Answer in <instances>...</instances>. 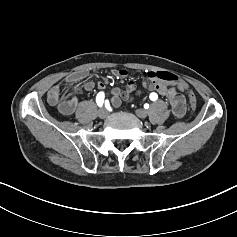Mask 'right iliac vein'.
I'll return each mask as SVG.
<instances>
[{
  "label": "right iliac vein",
  "instance_id": "1",
  "mask_svg": "<svg viewBox=\"0 0 237 237\" xmlns=\"http://www.w3.org/2000/svg\"><path fill=\"white\" fill-rule=\"evenodd\" d=\"M99 118L105 119L108 116V111L105 108H102L98 113Z\"/></svg>",
  "mask_w": 237,
  "mask_h": 237
}]
</instances>
